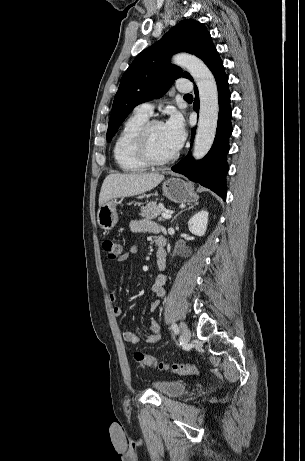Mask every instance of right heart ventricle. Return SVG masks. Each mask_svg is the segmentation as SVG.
I'll use <instances>...</instances> for the list:
<instances>
[{"label":"right heart ventricle","instance_id":"right-heart-ventricle-1","mask_svg":"<svg viewBox=\"0 0 305 461\" xmlns=\"http://www.w3.org/2000/svg\"><path fill=\"white\" fill-rule=\"evenodd\" d=\"M148 116L134 112L123 124L113 147V155L120 169L126 172H139L147 165L134 152V138Z\"/></svg>","mask_w":305,"mask_h":461}]
</instances>
